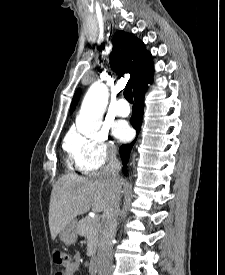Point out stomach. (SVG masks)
Listing matches in <instances>:
<instances>
[{"mask_svg": "<svg viewBox=\"0 0 225 275\" xmlns=\"http://www.w3.org/2000/svg\"><path fill=\"white\" fill-rule=\"evenodd\" d=\"M77 237V225L75 222L69 223L59 233V238L65 245L74 244L77 240Z\"/></svg>", "mask_w": 225, "mask_h": 275, "instance_id": "stomach-1", "label": "stomach"}]
</instances>
